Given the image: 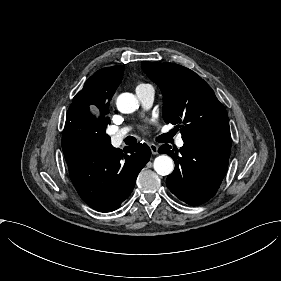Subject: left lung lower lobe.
Returning a JSON list of instances; mask_svg holds the SVG:
<instances>
[{"mask_svg": "<svg viewBox=\"0 0 281 281\" xmlns=\"http://www.w3.org/2000/svg\"><path fill=\"white\" fill-rule=\"evenodd\" d=\"M164 144L160 153L170 155L175 169L166 185L181 201L197 206L217 192L228 168L231 141L184 142L180 150Z\"/></svg>", "mask_w": 281, "mask_h": 281, "instance_id": "obj_1", "label": "left lung lower lobe"}]
</instances>
